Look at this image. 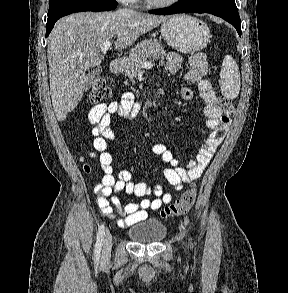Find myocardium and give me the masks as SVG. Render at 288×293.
<instances>
[{"instance_id": "obj_1", "label": "myocardium", "mask_w": 288, "mask_h": 293, "mask_svg": "<svg viewBox=\"0 0 288 293\" xmlns=\"http://www.w3.org/2000/svg\"><path fill=\"white\" fill-rule=\"evenodd\" d=\"M179 0H166V1H155V0H145V2L156 8H166L176 4Z\"/></svg>"}]
</instances>
